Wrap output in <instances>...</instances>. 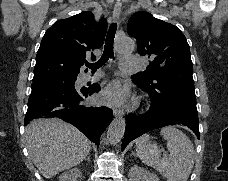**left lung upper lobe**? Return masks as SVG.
I'll return each instance as SVG.
<instances>
[{
    "label": "left lung upper lobe",
    "instance_id": "1",
    "mask_svg": "<svg viewBox=\"0 0 228 181\" xmlns=\"http://www.w3.org/2000/svg\"><path fill=\"white\" fill-rule=\"evenodd\" d=\"M127 30L137 39L138 53L151 59L145 70L131 76L132 81L144 91L196 104L190 48L183 33L143 11L132 15Z\"/></svg>",
    "mask_w": 228,
    "mask_h": 181
}]
</instances>
